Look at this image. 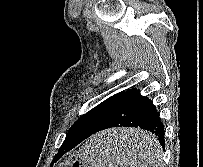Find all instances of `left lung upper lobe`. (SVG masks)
I'll list each match as a JSON object with an SVG mask.
<instances>
[{"label":"left lung upper lobe","mask_w":203,"mask_h":167,"mask_svg":"<svg viewBox=\"0 0 203 167\" xmlns=\"http://www.w3.org/2000/svg\"><path fill=\"white\" fill-rule=\"evenodd\" d=\"M124 93L125 91H122L109 97L88 113L80 117L69 129L66 137L89 134L95 130L98 125L108 116Z\"/></svg>","instance_id":"5c2ea615"}]
</instances>
